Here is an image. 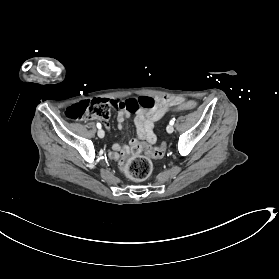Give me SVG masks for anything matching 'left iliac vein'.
<instances>
[{
    "instance_id": "4c4485c4",
    "label": "left iliac vein",
    "mask_w": 279,
    "mask_h": 279,
    "mask_svg": "<svg viewBox=\"0 0 279 279\" xmlns=\"http://www.w3.org/2000/svg\"><path fill=\"white\" fill-rule=\"evenodd\" d=\"M166 130L168 133H172L174 131V127L170 124L167 126Z\"/></svg>"
}]
</instances>
